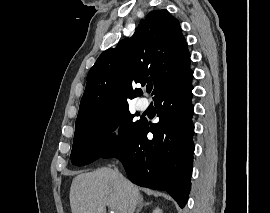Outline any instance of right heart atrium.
I'll use <instances>...</instances> for the list:
<instances>
[{
	"instance_id": "1",
	"label": "right heart atrium",
	"mask_w": 270,
	"mask_h": 213,
	"mask_svg": "<svg viewBox=\"0 0 270 213\" xmlns=\"http://www.w3.org/2000/svg\"><path fill=\"white\" fill-rule=\"evenodd\" d=\"M119 134H120V129H119V126L116 124L108 125L103 131V135L105 139L113 143L118 140Z\"/></svg>"
}]
</instances>
